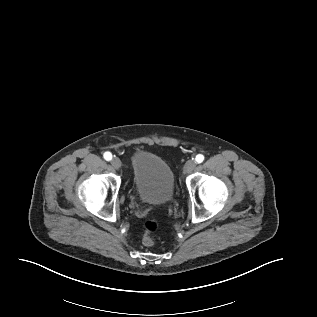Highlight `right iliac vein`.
<instances>
[{
	"label": "right iliac vein",
	"instance_id": "63e3f726",
	"mask_svg": "<svg viewBox=\"0 0 317 317\" xmlns=\"http://www.w3.org/2000/svg\"><path fill=\"white\" fill-rule=\"evenodd\" d=\"M111 164L116 170H119L121 168V161L119 158H113L111 160Z\"/></svg>",
	"mask_w": 317,
	"mask_h": 317
}]
</instances>
